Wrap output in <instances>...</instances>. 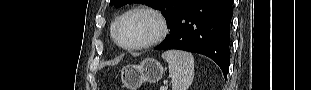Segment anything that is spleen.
Returning <instances> with one entry per match:
<instances>
[{"label":"spleen","instance_id":"3e777b00","mask_svg":"<svg viewBox=\"0 0 311 90\" xmlns=\"http://www.w3.org/2000/svg\"><path fill=\"white\" fill-rule=\"evenodd\" d=\"M168 63L172 90H187L194 78V57L180 50H168L162 54Z\"/></svg>","mask_w":311,"mask_h":90}]
</instances>
